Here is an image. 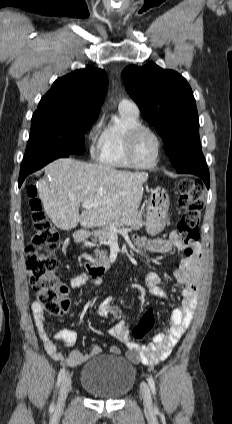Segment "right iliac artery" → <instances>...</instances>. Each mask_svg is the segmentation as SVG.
Returning <instances> with one entry per match:
<instances>
[{
	"mask_svg": "<svg viewBox=\"0 0 232 424\" xmlns=\"http://www.w3.org/2000/svg\"><path fill=\"white\" fill-rule=\"evenodd\" d=\"M65 376V369L62 368L59 372L58 378H57V383L56 386L57 388L59 387L60 383L62 382L63 378ZM50 411L53 412L54 411V401L52 402L51 406H50Z\"/></svg>",
	"mask_w": 232,
	"mask_h": 424,
	"instance_id": "82829eb1",
	"label": "right iliac artery"
}]
</instances>
